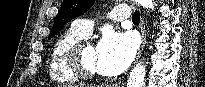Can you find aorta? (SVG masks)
Listing matches in <instances>:
<instances>
[{
	"mask_svg": "<svg viewBox=\"0 0 205 87\" xmlns=\"http://www.w3.org/2000/svg\"><path fill=\"white\" fill-rule=\"evenodd\" d=\"M141 6L147 9H154L153 0H136ZM146 74V66L143 62L138 63L130 73L127 87H143Z\"/></svg>",
	"mask_w": 205,
	"mask_h": 87,
	"instance_id": "obj_1",
	"label": "aorta"
}]
</instances>
